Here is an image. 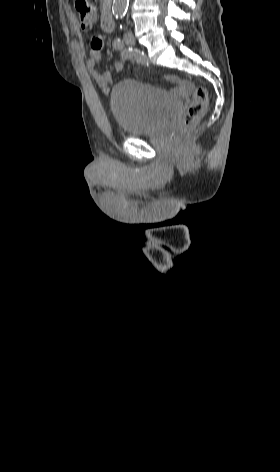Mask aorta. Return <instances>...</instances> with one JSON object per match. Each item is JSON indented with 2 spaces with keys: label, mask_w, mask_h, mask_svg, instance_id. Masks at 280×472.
<instances>
[{
  "label": "aorta",
  "mask_w": 280,
  "mask_h": 472,
  "mask_svg": "<svg viewBox=\"0 0 280 472\" xmlns=\"http://www.w3.org/2000/svg\"><path fill=\"white\" fill-rule=\"evenodd\" d=\"M129 5V0H114L112 6V13L115 17L120 18L122 17Z\"/></svg>",
  "instance_id": "762f6f07"
}]
</instances>
